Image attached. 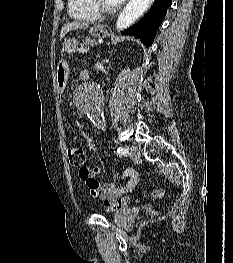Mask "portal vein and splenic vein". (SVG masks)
<instances>
[{"instance_id": "18ae733b", "label": "portal vein and splenic vein", "mask_w": 233, "mask_h": 263, "mask_svg": "<svg viewBox=\"0 0 233 263\" xmlns=\"http://www.w3.org/2000/svg\"><path fill=\"white\" fill-rule=\"evenodd\" d=\"M79 52H81V53H86V52H87V50H85V49L81 48V49L79 50Z\"/></svg>"}]
</instances>
